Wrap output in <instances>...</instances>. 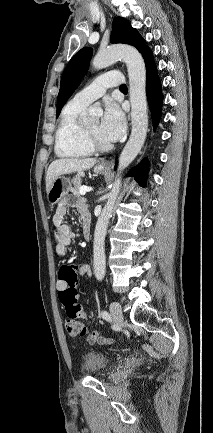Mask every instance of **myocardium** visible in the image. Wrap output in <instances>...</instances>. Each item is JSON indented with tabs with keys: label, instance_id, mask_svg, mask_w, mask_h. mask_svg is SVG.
I'll return each instance as SVG.
<instances>
[{
	"label": "myocardium",
	"instance_id": "myocardium-1",
	"mask_svg": "<svg viewBox=\"0 0 213 433\" xmlns=\"http://www.w3.org/2000/svg\"><path fill=\"white\" fill-rule=\"evenodd\" d=\"M84 134L87 143L94 151H108L112 148L111 143H103L100 140H98L91 132L87 130V128H84Z\"/></svg>",
	"mask_w": 213,
	"mask_h": 433
}]
</instances>
